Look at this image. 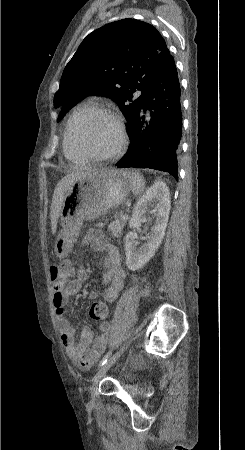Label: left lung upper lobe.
Instances as JSON below:
<instances>
[{
  "label": "left lung upper lobe",
  "instance_id": "obj_1",
  "mask_svg": "<svg viewBox=\"0 0 245 450\" xmlns=\"http://www.w3.org/2000/svg\"><path fill=\"white\" fill-rule=\"evenodd\" d=\"M170 57L160 33L146 22L123 19L93 31L63 71L54 96V107H62L58 120L84 97L104 95L119 105L128 132L149 86ZM137 90L142 94L134 98Z\"/></svg>",
  "mask_w": 245,
  "mask_h": 450
}]
</instances>
